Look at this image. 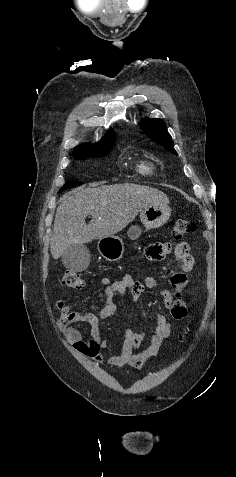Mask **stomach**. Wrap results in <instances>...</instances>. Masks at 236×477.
<instances>
[{"instance_id":"1","label":"stomach","mask_w":236,"mask_h":477,"mask_svg":"<svg viewBox=\"0 0 236 477\" xmlns=\"http://www.w3.org/2000/svg\"><path fill=\"white\" fill-rule=\"evenodd\" d=\"M171 214L168 204H152L140 211V220L146 229L159 228L164 225ZM141 228L131 226L127 233L128 237L136 240L141 235ZM99 253L108 261H117L122 258L125 248L123 240L118 236H108L98 242Z\"/></svg>"}]
</instances>
